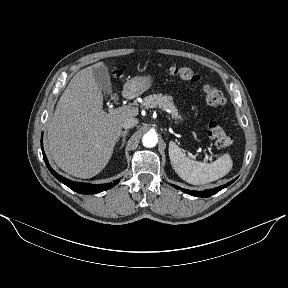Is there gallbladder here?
<instances>
[{
  "instance_id": "1",
  "label": "gallbladder",
  "mask_w": 288,
  "mask_h": 288,
  "mask_svg": "<svg viewBox=\"0 0 288 288\" xmlns=\"http://www.w3.org/2000/svg\"><path fill=\"white\" fill-rule=\"evenodd\" d=\"M93 75L100 89L110 90V77L105 65L93 69Z\"/></svg>"
}]
</instances>
